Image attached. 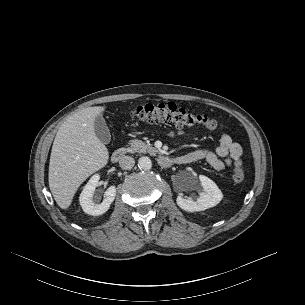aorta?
I'll return each instance as SVG.
<instances>
[{"mask_svg": "<svg viewBox=\"0 0 305 305\" xmlns=\"http://www.w3.org/2000/svg\"><path fill=\"white\" fill-rule=\"evenodd\" d=\"M138 167L142 170H150L152 168V162L148 157H140L138 160Z\"/></svg>", "mask_w": 305, "mask_h": 305, "instance_id": "762f6f07", "label": "aorta"}]
</instances>
